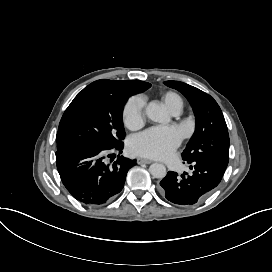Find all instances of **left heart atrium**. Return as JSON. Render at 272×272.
Returning a JSON list of instances; mask_svg holds the SVG:
<instances>
[{
    "label": "left heart atrium",
    "instance_id": "1",
    "mask_svg": "<svg viewBox=\"0 0 272 272\" xmlns=\"http://www.w3.org/2000/svg\"><path fill=\"white\" fill-rule=\"evenodd\" d=\"M180 133L174 127H153L138 135L130 144L132 154L166 159L180 143Z\"/></svg>",
    "mask_w": 272,
    "mask_h": 272
}]
</instances>
